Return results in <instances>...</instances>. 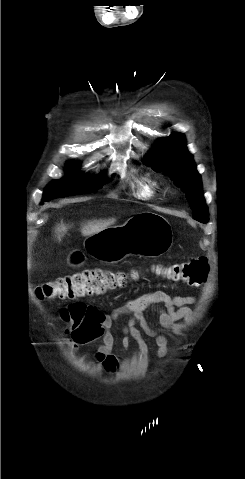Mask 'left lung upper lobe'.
Returning a JSON list of instances; mask_svg holds the SVG:
<instances>
[{"label": "left lung upper lobe", "instance_id": "5c2ea615", "mask_svg": "<svg viewBox=\"0 0 245 479\" xmlns=\"http://www.w3.org/2000/svg\"><path fill=\"white\" fill-rule=\"evenodd\" d=\"M145 163L155 170H161L170 175L186 193L194 219L202 223L208 222L200 175L192 155L186 148L183 135L174 133L167 138H162L146 155Z\"/></svg>", "mask_w": 245, "mask_h": 479}]
</instances>
